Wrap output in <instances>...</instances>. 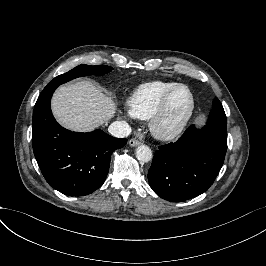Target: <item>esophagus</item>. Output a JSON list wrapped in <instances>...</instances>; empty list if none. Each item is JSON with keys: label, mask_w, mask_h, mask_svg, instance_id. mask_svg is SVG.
<instances>
[{"label": "esophagus", "mask_w": 266, "mask_h": 266, "mask_svg": "<svg viewBox=\"0 0 266 266\" xmlns=\"http://www.w3.org/2000/svg\"><path fill=\"white\" fill-rule=\"evenodd\" d=\"M141 142L137 139H130L129 140V145L130 146H138Z\"/></svg>", "instance_id": "1"}]
</instances>
